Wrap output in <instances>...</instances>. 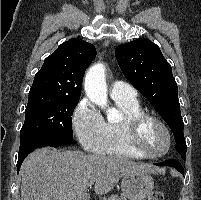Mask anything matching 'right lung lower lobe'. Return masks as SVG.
<instances>
[{"instance_id":"1","label":"right lung lower lobe","mask_w":201,"mask_h":200,"mask_svg":"<svg viewBox=\"0 0 201 200\" xmlns=\"http://www.w3.org/2000/svg\"><path fill=\"white\" fill-rule=\"evenodd\" d=\"M68 144H76V141L73 140V138H67L43 131H33L22 134L20 137L17 173H19L21 164L24 161V159L33 150L45 146L58 147Z\"/></svg>"}]
</instances>
